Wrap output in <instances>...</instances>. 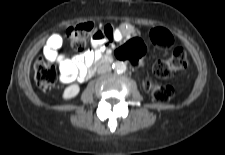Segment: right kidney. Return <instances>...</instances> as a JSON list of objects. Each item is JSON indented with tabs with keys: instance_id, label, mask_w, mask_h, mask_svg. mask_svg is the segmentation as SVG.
I'll list each match as a JSON object with an SVG mask.
<instances>
[{
	"instance_id": "ca27d5eb",
	"label": "right kidney",
	"mask_w": 225,
	"mask_h": 155,
	"mask_svg": "<svg viewBox=\"0 0 225 155\" xmlns=\"http://www.w3.org/2000/svg\"><path fill=\"white\" fill-rule=\"evenodd\" d=\"M79 90H80V88L78 85H71L64 90L63 98L71 99L79 93Z\"/></svg>"
}]
</instances>
